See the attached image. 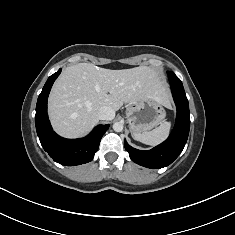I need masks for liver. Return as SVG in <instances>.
<instances>
[{"mask_svg":"<svg viewBox=\"0 0 235 235\" xmlns=\"http://www.w3.org/2000/svg\"><path fill=\"white\" fill-rule=\"evenodd\" d=\"M153 97L170 107L166 85L150 67L110 70L91 63L67 67L51 90L48 111L54 130L66 138L87 134L98 124V111Z\"/></svg>","mask_w":235,"mask_h":235,"instance_id":"1","label":"liver"}]
</instances>
